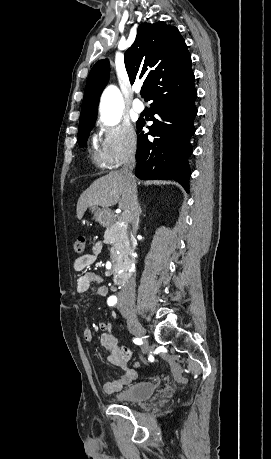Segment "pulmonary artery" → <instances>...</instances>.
<instances>
[{
  "mask_svg": "<svg viewBox=\"0 0 271 459\" xmlns=\"http://www.w3.org/2000/svg\"><path fill=\"white\" fill-rule=\"evenodd\" d=\"M136 93H137V95H139L140 94V90L138 89L136 91ZM144 109H145V105H144L143 101L141 99H139V98H136L132 103V111H133V113L140 114V113H142L144 111Z\"/></svg>",
  "mask_w": 271,
  "mask_h": 459,
  "instance_id": "pulmonary-artery-1",
  "label": "pulmonary artery"
}]
</instances>
